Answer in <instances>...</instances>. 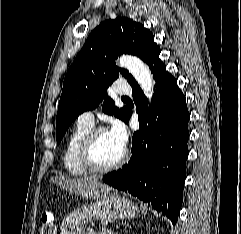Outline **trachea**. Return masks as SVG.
<instances>
[{
    "mask_svg": "<svg viewBox=\"0 0 241 234\" xmlns=\"http://www.w3.org/2000/svg\"><path fill=\"white\" fill-rule=\"evenodd\" d=\"M122 99H123V100H126V99H128V97H122Z\"/></svg>",
    "mask_w": 241,
    "mask_h": 234,
    "instance_id": "obj_1",
    "label": "trachea"
}]
</instances>
